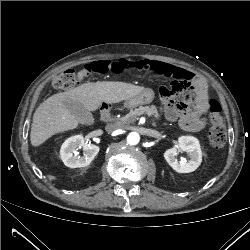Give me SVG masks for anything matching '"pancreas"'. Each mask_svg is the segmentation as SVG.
I'll use <instances>...</instances> for the list:
<instances>
[{
    "instance_id": "cf45deb5",
    "label": "pancreas",
    "mask_w": 250,
    "mask_h": 250,
    "mask_svg": "<svg viewBox=\"0 0 250 250\" xmlns=\"http://www.w3.org/2000/svg\"><path fill=\"white\" fill-rule=\"evenodd\" d=\"M147 114V115H156L158 116V110L157 107L152 106H140L134 110H131L126 116L115 119V121L119 123H133L135 122L139 116Z\"/></svg>"
}]
</instances>
